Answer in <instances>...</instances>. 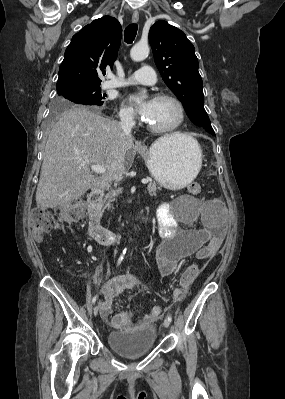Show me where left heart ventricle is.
Listing matches in <instances>:
<instances>
[{"label":"left heart ventricle","mask_w":285,"mask_h":399,"mask_svg":"<svg viewBox=\"0 0 285 399\" xmlns=\"http://www.w3.org/2000/svg\"><path fill=\"white\" fill-rule=\"evenodd\" d=\"M178 107L169 100H154L150 116L146 119L155 127H168L178 122Z\"/></svg>","instance_id":"b2bd125f"}]
</instances>
